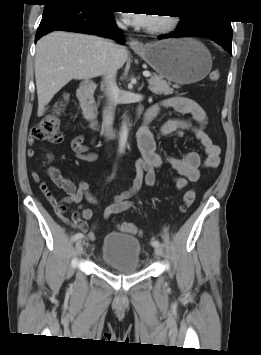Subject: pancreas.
Here are the masks:
<instances>
[{
    "label": "pancreas",
    "instance_id": "cf45deb5",
    "mask_svg": "<svg viewBox=\"0 0 261 355\" xmlns=\"http://www.w3.org/2000/svg\"><path fill=\"white\" fill-rule=\"evenodd\" d=\"M149 90L155 94L161 95H171L174 93L173 88H179L178 85H174L173 88L170 87V83L165 81L162 77L154 74L150 79H148Z\"/></svg>",
    "mask_w": 261,
    "mask_h": 355
}]
</instances>
